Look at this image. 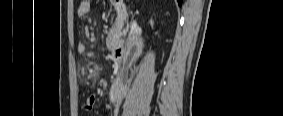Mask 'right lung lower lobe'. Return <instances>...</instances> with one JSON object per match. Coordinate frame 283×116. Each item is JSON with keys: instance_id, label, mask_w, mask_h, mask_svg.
Returning a JSON list of instances; mask_svg holds the SVG:
<instances>
[{"instance_id": "right-lung-lower-lobe-1", "label": "right lung lower lobe", "mask_w": 283, "mask_h": 116, "mask_svg": "<svg viewBox=\"0 0 283 116\" xmlns=\"http://www.w3.org/2000/svg\"><path fill=\"white\" fill-rule=\"evenodd\" d=\"M179 4H181V0H177Z\"/></svg>"}]
</instances>
